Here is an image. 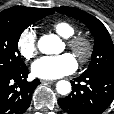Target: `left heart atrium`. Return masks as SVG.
Here are the masks:
<instances>
[{"mask_svg":"<svg viewBox=\"0 0 114 114\" xmlns=\"http://www.w3.org/2000/svg\"><path fill=\"white\" fill-rule=\"evenodd\" d=\"M77 61L73 55L64 53L58 56H44L33 62L32 73L41 79H57L73 73Z\"/></svg>","mask_w":114,"mask_h":114,"instance_id":"1","label":"left heart atrium"}]
</instances>
